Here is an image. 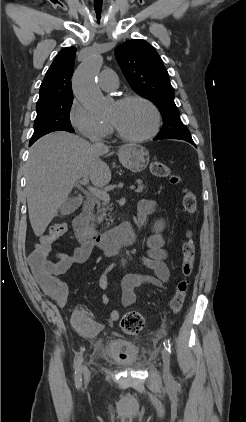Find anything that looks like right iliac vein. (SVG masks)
I'll return each instance as SVG.
<instances>
[{"instance_id": "right-iliac-vein-1", "label": "right iliac vein", "mask_w": 246, "mask_h": 422, "mask_svg": "<svg viewBox=\"0 0 246 422\" xmlns=\"http://www.w3.org/2000/svg\"><path fill=\"white\" fill-rule=\"evenodd\" d=\"M83 374H84V380H85V382L86 383L89 382L90 373H89V370H88V368L86 366L83 367Z\"/></svg>"}]
</instances>
